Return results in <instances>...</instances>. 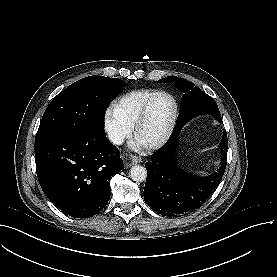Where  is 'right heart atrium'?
<instances>
[{"mask_svg": "<svg viewBox=\"0 0 277 277\" xmlns=\"http://www.w3.org/2000/svg\"><path fill=\"white\" fill-rule=\"evenodd\" d=\"M103 126L109 137L116 143L127 138L131 133V125L117 114L114 107H108L103 114Z\"/></svg>", "mask_w": 277, "mask_h": 277, "instance_id": "right-heart-atrium-1", "label": "right heart atrium"}]
</instances>
